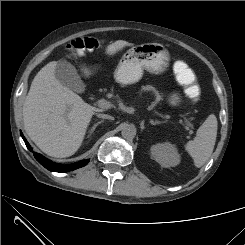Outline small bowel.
Listing matches in <instances>:
<instances>
[{
  "instance_id": "1",
  "label": "small bowel",
  "mask_w": 245,
  "mask_h": 245,
  "mask_svg": "<svg viewBox=\"0 0 245 245\" xmlns=\"http://www.w3.org/2000/svg\"><path fill=\"white\" fill-rule=\"evenodd\" d=\"M173 69L179 82L194 80L193 71L183 61H176Z\"/></svg>"
}]
</instances>
